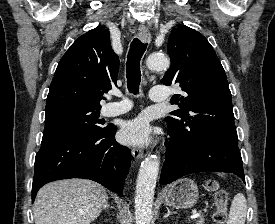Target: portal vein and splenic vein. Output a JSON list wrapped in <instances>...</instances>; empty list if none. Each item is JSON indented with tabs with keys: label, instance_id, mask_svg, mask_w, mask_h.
I'll return each instance as SVG.
<instances>
[{
	"label": "portal vein and splenic vein",
	"instance_id": "portal-vein-and-splenic-vein-1",
	"mask_svg": "<svg viewBox=\"0 0 275 224\" xmlns=\"http://www.w3.org/2000/svg\"><path fill=\"white\" fill-rule=\"evenodd\" d=\"M199 216H200V213L194 212V213L191 215V219H195V218H197V217H199Z\"/></svg>",
	"mask_w": 275,
	"mask_h": 224
}]
</instances>
